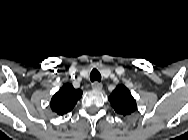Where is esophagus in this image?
<instances>
[{
  "mask_svg": "<svg viewBox=\"0 0 188 140\" xmlns=\"http://www.w3.org/2000/svg\"><path fill=\"white\" fill-rule=\"evenodd\" d=\"M102 88H103V85H102V83H100V82H94V83H92V89L93 90H95V91H100V90H102Z\"/></svg>",
  "mask_w": 188,
  "mask_h": 140,
  "instance_id": "obj_1",
  "label": "esophagus"
}]
</instances>
